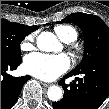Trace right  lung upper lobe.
I'll list each match as a JSON object with an SVG mask.
<instances>
[{"label":"right lung upper lobe","mask_w":109,"mask_h":109,"mask_svg":"<svg viewBox=\"0 0 109 109\" xmlns=\"http://www.w3.org/2000/svg\"><path fill=\"white\" fill-rule=\"evenodd\" d=\"M30 27H32V29H34V31H35L36 29H38V26H30Z\"/></svg>","instance_id":"obj_1"}]
</instances>
